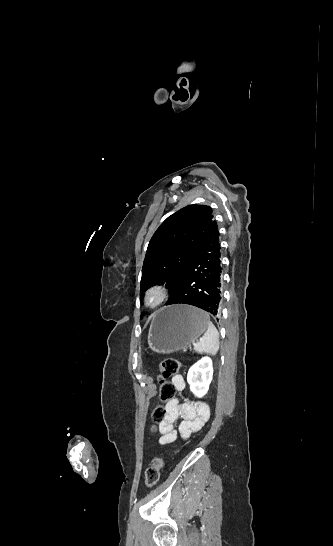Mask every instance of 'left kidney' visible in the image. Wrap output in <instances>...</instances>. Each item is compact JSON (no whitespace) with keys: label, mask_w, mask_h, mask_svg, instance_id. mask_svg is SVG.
<instances>
[{"label":"left kidney","mask_w":333,"mask_h":546,"mask_svg":"<svg viewBox=\"0 0 333 546\" xmlns=\"http://www.w3.org/2000/svg\"><path fill=\"white\" fill-rule=\"evenodd\" d=\"M213 364L209 357H203L196 362L188 371L187 382L190 385V390L197 397L204 396L212 381Z\"/></svg>","instance_id":"left-kidney-1"}]
</instances>
